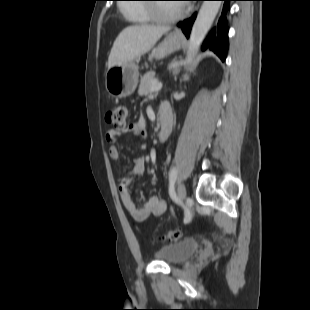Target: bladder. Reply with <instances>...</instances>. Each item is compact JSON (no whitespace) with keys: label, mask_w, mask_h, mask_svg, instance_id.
I'll list each match as a JSON object with an SVG mask.
<instances>
[{"label":"bladder","mask_w":310,"mask_h":310,"mask_svg":"<svg viewBox=\"0 0 310 310\" xmlns=\"http://www.w3.org/2000/svg\"><path fill=\"white\" fill-rule=\"evenodd\" d=\"M198 242L193 239H187L159 248L155 257L163 262L178 264L189 259L197 250Z\"/></svg>","instance_id":"bladder-1"}]
</instances>
